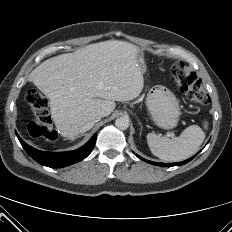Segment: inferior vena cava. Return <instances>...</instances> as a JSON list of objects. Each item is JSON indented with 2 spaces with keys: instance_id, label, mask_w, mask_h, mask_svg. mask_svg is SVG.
I'll return each instance as SVG.
<instances>
[{
  "instance_id": "inferior-vena-cava-1",
  "label": "inferior vena cava",
  "mask_w": 232,
  "mask_h": 232,
  "mask_svg": "<svg viewBox=\"0 0 232 232\" xmlns=\"http://www.w3.org/2000/svg\"><path fill=\"white\" fill-rule=\"evenodd\" d=\"M102 118L101 114H92L88 117V122L81 129V133L88 131L92 128L95 122H98Z\"/></svg>"
}]
</instances>
